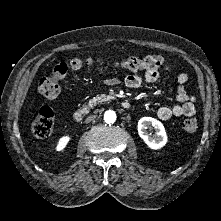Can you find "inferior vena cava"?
Segmentation results:
<instances>
[{
    "label": "inferior vena cava",
    "instance_id": "1",
    "mask_svg": "<svg viewBox=\"0 0 221 221\" xmlns=\"http://www.w3.org/2000/svg\"><path fill=\"white\" fill-rule=\"evenodd\" d=\"M96 118V115H90L85 119L86 123L92 122Z\"/></svg>",
    "mask_w": 221,
    "mask_h": 221
}]
</instances>
